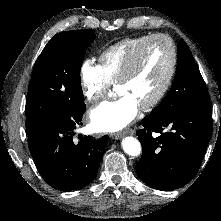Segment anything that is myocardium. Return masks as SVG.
Returning a JSON list of instances; mask_svg holds the SVG:
<instances>
[{
	"instance_id": "1",
	"label": "myocardium",
	"mask_w": 221,
	"mask_h": 221,
	"mask_svg": "<svg viewBox=\"0 0 221 221\" xmlns=\"http://www.w3.org/2000/svg\"><path fill=\"white\" fill-rule=\"evenodd\" d=\"M156 40H165L168 42L170 46V50H171V62H170V67H169L167 77L164 83L162 84L161 88L159 89V91L154 95V97L150 101H148L147 103H145L144 105L140 107V109L143 111H149V110L154 109L163 100V98L167 94L173 82V79L176 73V68H177L178 53H177L176 44L174 40L172 39V37H170L167 34H162V33L151 35L147 40H145L138 47V49L129 58V60L127 61L125 65L123 72L121 73L120 77L118 78L116 82V86H119L132 79V77L136 74L139 68L142 55L145 49L148 47L149 44H151L152 42Z\"/></svg>"
}]
</instances>
